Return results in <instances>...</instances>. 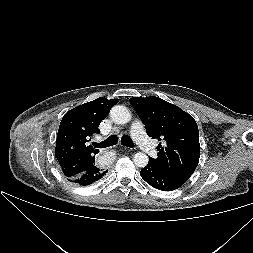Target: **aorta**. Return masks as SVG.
Here are the masks:
<instances>
[{
	"mask_svg": "<svg viewBox=\"0 0 253 253\" xmlns=\"http://www.w3.org/2000/svg\"><path fill=\"white\" fill-rule=\"evenodd\" d=\"M110 117L114 123L124 125L130 122L132 116L125 106L116 105L112 107ZM133 161L136 166L143 168L148 164L149 159L146 154L138 152L134 155Z\"/></svg>",
	"mask_w": 253,
	"mask_h": 253,
	"instance_id": "aorta-1",
	"label": "aorta"
}]
</instances>
